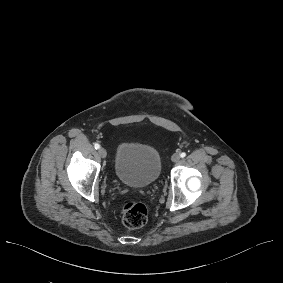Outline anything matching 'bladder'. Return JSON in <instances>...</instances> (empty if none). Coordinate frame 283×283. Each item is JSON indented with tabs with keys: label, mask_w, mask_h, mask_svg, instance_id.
I'll return each mask as SVG.
<instances>
[{
	"label": "bladder",
	"mask_w": 283,
	"mask_h": 283,
	"mask_svg": "<svg viewBox=\"0 0 283 283\" xmlns=\"http://www.w3.org/2000/svg\"><path fill=\"white\" fill-rule=\"evenodd\" d=\"M161 156L151 145L122 140L115 157L114 173L124 185L144 188L159 177Z\"/></svg>",
	"instance_id": "1"
}]
</instances>
